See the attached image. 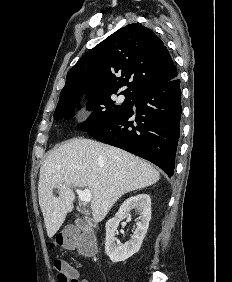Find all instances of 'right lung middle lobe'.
I'll list each match as a JSON object with an SVG mask.
<instances>
[{"mask_svg":"<svg viewBox=\"0 0 232 282\" xmlns=\"http://www.w3.org/2000/svg\"><path fill=\"white\" fill-rule=\"evenodd\" d=\"M116 91H105L86 94L88 96V110L92 111L87 121L79 126L82 131H90L99 128L111 120L129 111L133 105L135 95L126 91L121 92L125 96L122 104H116L111 96ZM83 94H75L63 100H60L54 112V117L59 119L65 117L68 119L73 116L74 108L80 101ZM80 109V105H77Z\"/></svg>","mask_w":232,"mask_h":282,"instance_id":"right-lung-middle-lobe-1","label":"right lung middle lobe"}]
</instances>
